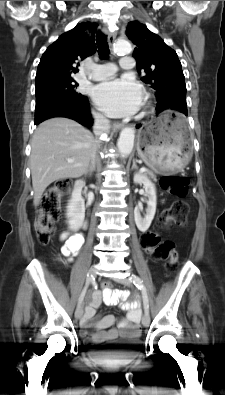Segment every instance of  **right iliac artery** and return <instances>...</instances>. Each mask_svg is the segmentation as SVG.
<instances>
[{
    "label": "right iliac artery",
    "instance_id": "82829eb1",
    "mask_svg": "<svg viewBox=\"0 0 225 395\" xmlns=\"http://www.w3.org/2000/svg\"><path fill=\"white\" fill-rule=\"evenodd\" d=\"M87 287H88V285L86 284V286L84 287V289L82 290V292L80 294V297H79V300H78V304L82 303V301L84 299V296L86 294V291H87Z\"/></svg>",
    "mask_w": 225,
    "mask_h": 395
}]
</instances>
